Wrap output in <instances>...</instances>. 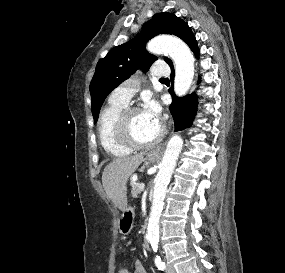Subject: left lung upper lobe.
Here are the masks:
<instances>
[{
	"mask_svg": "<svg viewBox=\"0 0 285 273\" xmlns=\"http://www.w3.org/2000/svg\"><path fill=\"white\" fill-rule=\"evenodd\" d=\"M159 34H173L184 42L192 35L187 23L171 13L155 14L143 25V30L132 40L114 47L96 67L90 83L92 114L97 122L100 108L107 95L120 83L129 78L137 69L147 71L157 59L145 50L146 42ZM164 60L170 65L172 61Z\"/></svg>",
	"mask_w": 285,
	"mask_h": 273,
	"instance_id": "1",
	"label": "left lung upper lobe"
}]
</instances>
